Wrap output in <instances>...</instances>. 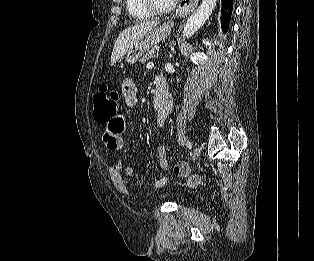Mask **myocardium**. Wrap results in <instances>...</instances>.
<instances>
[{"label":"myocardium","mask_w":314,"mask_h":261,"mask_svg":"<svg viewBox=\"0 0 314 261\" xmlns=\"http://www.w3.org/2000/svg\"><path fill=\"white\" fill-rule=\"evenodd\" d=\"M144 7L149 10L152 14L164 15L171 12L177 3V0H173L165 7H159L155 4L154 0H141Z\"/></svg>","instance_id":"f54148a6"}]
</instances>
